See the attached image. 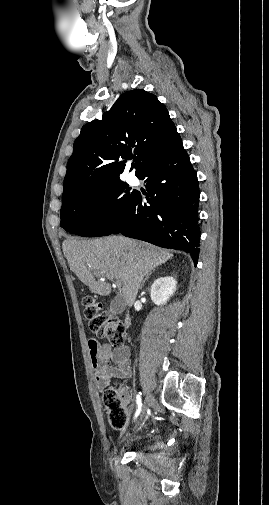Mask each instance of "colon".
I'll return each instance as SVG.
<instances>
[{
	"label": "colon",
	"mask_w": 269,
	"mask_h": 505,
	"mask_svg": "<svg viewBox=\"0 0 269 505\" xmlns=\"http://www.w3.org/2000/svg\"><path fill=\"white\" fill-rule=\"evenodd\" d=\"M84 316L89 326L99 338L108 340L114 347H122L125 337V325L115 317L110 316L102 308L101 303L94 296L83 299ZM108 410V418L114 429L121 430L126 426L127 415L113 392H108L103 398Z\"/></svg>",
	"instance_id": "5ec220e1"
}]
</instances>
